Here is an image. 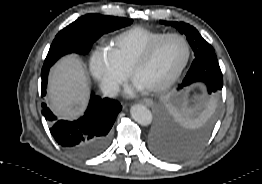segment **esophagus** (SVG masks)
I'll return each mask as SVG.
<instances>
[{
    "instance_id": "esophagus-1",
    "label": "esophagus",
    "mask_w": 262,
    "mask_h": 184,
    "mask_svg": "<svg viewBox=\"0 0 262 184\" xmlns=\"http://www.w3.org/2000/svg\"><path fill=\"white\" fill-rule=\"evenodd\" d=\"M139 102L141 104H144V105L148 106V107H151L153 105V101L151 99H148V98L142 99Z\"/></svg>"
}]
</instances>
